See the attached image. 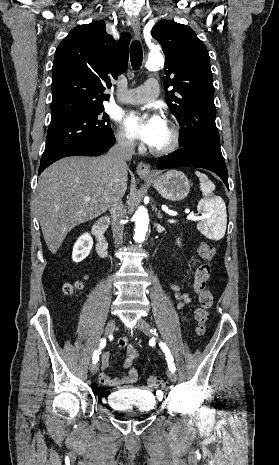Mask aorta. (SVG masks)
Wrapping results in <instances>:
<instances>
[{"label": "aorta", "instance_id": "1", "mask_svg": "<svg viewBox=\"0 0 279 465\" xmlns=\"http://www.w3.org/2000/svg\"><path fill=\"white\" fill-rule=\"evenodd\" d=\"M164 62L160 54H151L149 55L147 68H152L155 65H160ZM135 219V235L134 240L136 242H143L145 240L146 233L148 231L149 216L147 209L144 207H139L134 214Z\"/></svg>", "mask_w": 279, "mask_h": 465}]
</instances>
